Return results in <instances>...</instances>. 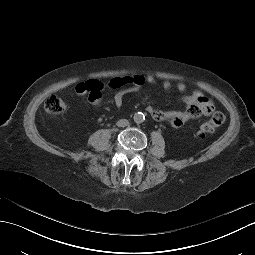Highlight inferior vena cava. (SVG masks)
I'll list each match as a JSON object with an SVG mask.
<instances>
[{
	"instance_id": "inferior-vena-cava-1",
	"label": "inferior vena cava",
	"mask_w": 255,
	"mask_h": 255,
	"mask_svg": "<svg viewBox=\"0 0 255 255\" xmlns=\"http://www.w3.org/2000/svg\"><path fill=\"white\" fill-rule=\"evenodd\" d=\"M116 125L118 127H126L129 125V121L127 119H120L119 121H117Z\"/></svg>"
}]
</instances>
